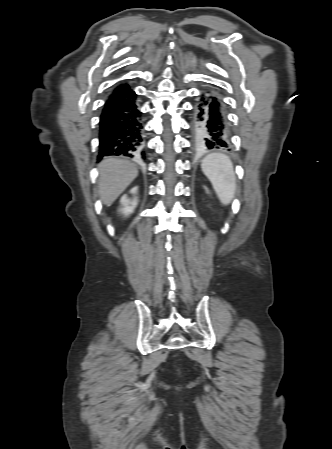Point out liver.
<instances>
[{"instance_id": "1", "label": "liver", "mask_w": 332, "mask_h": 449, "mask_svg": "<svg viewBox=\"0 0 332 449\" xmlns=\"http://www.w3.org/2000/svg\"><path fill=\"white\" fill-rule=\"evenodd\" d=\"M98 168L99 196L107 206H110L138 175L135 164L114 157L104 158Z\"/></svg>"}]
</instances>
